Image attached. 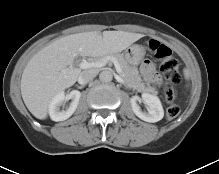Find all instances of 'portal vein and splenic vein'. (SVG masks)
<instances>
[{
    "label": "portal vein and splenic vein",
    "mask_w": 219,
    "mask_h": 174,
    "mask_svg": "<svg viewBox=\"0 0 219 174\" xmlns=\"http://www.w3.org/2000/svg\"><path fill=\"white\" fill-rule=\"evenodd\" d=\"M108 61L113 62L117 73L122 74V68H121L119 62L114 57H111V56H107V57L101 58L100 60H98L96 62L82 61L79 64V67L81 69H88V68H92V67H97L98 68V67L105 66Z\"/></svg>",
    "instance_id": "obj_1"
}]
</instances>
